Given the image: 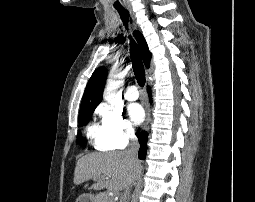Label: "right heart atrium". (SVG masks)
<instances>
[{"mask_svg":"<svg viewBox=\"0 0 255 202\" xmlns=\"http://www.w3.org/2000/svg\"><path fill=\"white\" fill-rule=\"evenodd\" d=\"M97 112L101 117L102 148L121 149L134 138L135 131L121 111L108 105H101Z\"/></svg>","mask_w":255,"mask_h":202,"instance_id":"right-heart-atrium-1","label":"right heart atrium"}]
</instances>
